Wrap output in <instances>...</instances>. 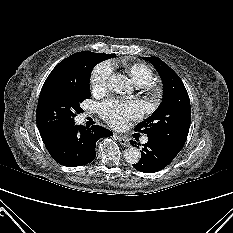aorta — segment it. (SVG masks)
<instances>
[{"mask_svg":"<svg viewBox=\"0 0 233 233\" xmlns=\"http://www.w3.org/2000/svg\"><path fill=\"white\" fill-rule=\"evenodd\" d=\"M109 88L119 94L130 93L132 83L129 78L122 74H113L109 82ZM141 158L140 150L136 147H129L124 151V159L129 164H136Z\"/></svg>","mask_w":233,"mask_h":233,"instance_id":"762f6f07","label":"aorta"}]
</instances>
